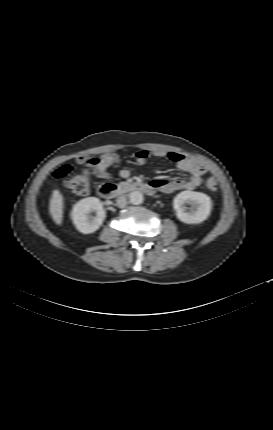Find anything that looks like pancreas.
<instances>
[{"label":"pancreas","instance_id":"obj_1","mask_svg":"<svg viewBox=\"0 0 273 430\" xmlns=\"http://www.w3.org/2000/svg\"><path fill=\"white\" fill-rule=\"evenodd\" d=\"M128 186V183L127 182H121V183H119L118 184V188H120V189H124V188H126Z\"/></svg>","mask_w":273,"mask_h":430}]
</instances>
